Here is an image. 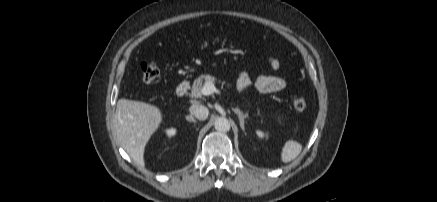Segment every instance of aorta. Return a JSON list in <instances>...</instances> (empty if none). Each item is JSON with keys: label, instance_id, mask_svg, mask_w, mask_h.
Masks as SVG:
<instances>
[{"label": "aorta", "instance_id": "1", "mask_svg": "<svg viewBox=\"0 0 437 202\" xmlns=\"http://www.w3.org/2000/svg\"><path fill=\"white\" fill-rule=\"evenodd\" d=\"M214 127L219 132H227L230 130V122L225 117H218L214 122Z\"/></svg>", "mask_w": 437, "mask_h": 202}]
</instances>
